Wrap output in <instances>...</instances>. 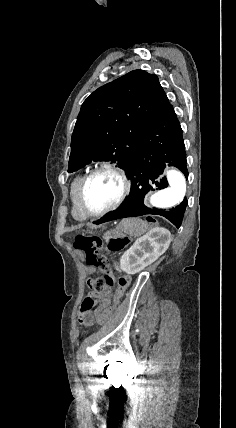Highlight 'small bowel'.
<instances>
[{"label": "small bowel", "instance_id": "obj_1", "mask_svg": "<svg viewBox=\"0 0 236 428\" xmlns=\"http://www.w3.org/2000/svg\"><path fill=\"white\" fill-rule=\"evenodd\" d=\"M98 300H99L101 306H103V307L108 306L110 304V295L109 294H100V295H98ZM88 322L90 323L91 320H89Z\"/></svg>", "mask_w": 236, "mask_h": 428}]
</instances>
